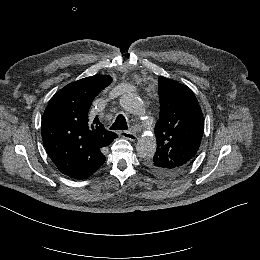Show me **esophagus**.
<instances>
[{
  "label": "esophagus",
  "mask_w": 260,
  "mask_h": 260,
  "mask_svg": "<svg viewBox=\"0 0 260 260\" xmlns=\"http://www.w3.org/2000/svg\"><path fill=\"white\" fill-rule=\"evenodd\" d=\"M120 135L125 138L128 139L130 141H135L136 140V135L130 131H121Z\"/></svg>",
  "instance_id": "esophagus-1"
}]
</instances>
